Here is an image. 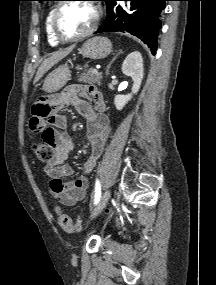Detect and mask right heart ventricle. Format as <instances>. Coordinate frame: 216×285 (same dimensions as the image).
I'll return each instance as SVG.
<instances>
[{
    "label": "right heart ventricle",
    "mask_w": 216,
    "mask_h": 285,
    "mask_svg": "<svg viewBox=\"0 0 216 285\" xmlns=\"http://www.w3.org/2000/svg\"><path fill=\"white\" fill-rule=\"evenodd\" d=\"M56 6L53 5L48 13H47V16H46V19H45V31H46V36H47V40H48V43L51 45V46H57L60 44V42L54 37L53 33H52V29H51V19H52V15L54 13V10H55Z\"/></svg>",
    "instance_id": "right-heart-ventricle-1"
}]
</instances>
